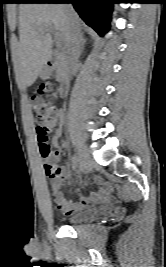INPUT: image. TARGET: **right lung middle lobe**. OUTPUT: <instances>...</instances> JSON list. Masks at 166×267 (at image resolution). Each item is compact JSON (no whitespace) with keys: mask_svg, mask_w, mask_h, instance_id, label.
Returning <instances> with one entry per match:
<instances>
[{"mask_svg":"<svg viewBox=\"0 0 166 267\" xmlns=\"http://www.w3.org/2000/svg\"><path fill=\"white\" fill-rule=\"evenodd\" d=\"M25 1H29V0H18L17 3H20V2H25Z\"/></svg>","mask_w":166,"mask_h":267,"instance_id":"1","label":"right lung middle lobe"}]
</instances>
